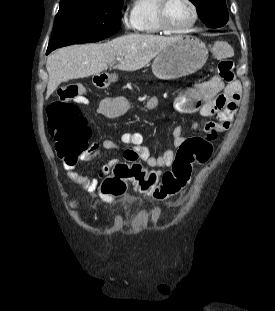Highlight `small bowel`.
Listing matches in <instances>:
<instances>
[{
    "mask_svg": "<svg viewBox=\"0 0 275 311\" xmlns=\"http://www.w3.org/2000/svg\"><path fill=\"white\" fill-rule=\"evenodd\" d=\"M232 54L233 51H230L229 55ZM239 99L240 84L237 81L225 83L220 77L213 76L187 91L184 97L177 99L175 109L183 114L198 113L204 117L216 116L217 121H208L201 127V130L208 136L229 128L237 111ZM198 129L197 123L190 127H175L172 132L174 149H167L159 156L151 155L149 148L144 144L141 133L124 132L120 137L121 142L132 146V149H123L124 159L141 160L151 168L169 167L175 159V148L182 144L190 132ZM102 149L120 150L121 146L111 139L95 141L82 153L79 159L87 161L100 157L102 156ZM77 162L78 159H65L63 160V168L71 181L93 194L100 190L99 181L103 180L105 175H110L115 166L122 163L119 159H110L102 166L96 177H90L77 172ZM69 211L70 213H81L82 208L73 205L70 206Z\"/></svg>",
    "mask_w": 275,
    "mask_h": 311,
    "instance_id": "c3829d8e",
    "label": "small bowel"
}]
</instances>
